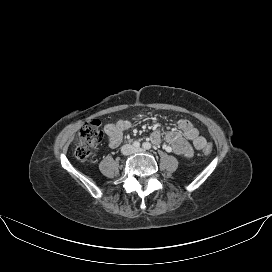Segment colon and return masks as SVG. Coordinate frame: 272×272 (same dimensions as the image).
Masks as SVG:
<instances>
[{"instance_id":"obj_1","label":"colon","mask_w":272,"mask_h":272,"mask_svg":"<svg viewBox=\"0 0 272 272\" xmlns=\"http://www.w3.org/2000/svg\"><path fill=\"white\" fill-rule=\"evenodd\" d=\"M103 141V132L99 120L87 122L79 131L75 139V155L78 159L85 160L96 153ZM212 145L207 144L203 152L210 154Z\"/></svg>"}]
</instances>
